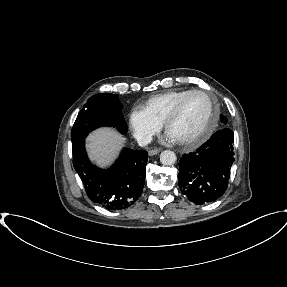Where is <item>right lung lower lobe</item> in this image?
Here are the masks:
<instances>
[{"label": "right lung lower lobe", "instance_id": "right-lung-lower-lobe-1", "mask_svg": "<svg viewBox=\"0 0 287 287\" xmlns=\"http://www.w3.org/2000/svg\"><path fill=\"white\" fill-rule=\"evenodd\" d=\"M72 152L73 166L93 202L114 211L128 208L139 198L145 182L147 151L124 148L107 170L91 164L85 140L72 147Z\"/></svg>", "mask_w": 287, "mask_h": 287}]
</instances>
